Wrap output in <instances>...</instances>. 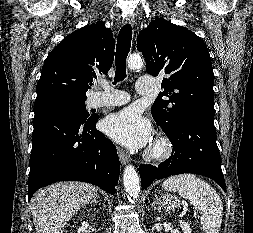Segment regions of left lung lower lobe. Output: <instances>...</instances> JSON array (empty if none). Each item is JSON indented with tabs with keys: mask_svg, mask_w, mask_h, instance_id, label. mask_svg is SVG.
Returning <instances> with one entry per match:
<instances>
[{
	"mask_svg": "<svg viewBox=\"0 0 253 233\" xmlns=\"http://www.w3.org/2000/svg\"><path fill=\"white\" fill-rule=\"evenodd\" d=\"M169 139L173 144V155L168 160L157 167L139 166L142 189L157 179L195 173L214 180L226 192L213 117L198 115L182 119L177 133Z\"/></svg>",
	"mask_w": 253,
	"mask_h": 233,
	"instance_id": "0a47b994",
	"label": "left lung lower lobe"
}]
</instances>
